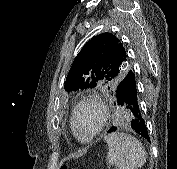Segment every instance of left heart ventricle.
<instances>
[{
  "label": "left heart ventricle",
  "instance_id": "left-heart-ventricle-1",
  "mask_svg": "<svg viewBox=\"0 0 177 169\" xmlns=\"http://www.w3.org/2000/svg\"><path fill=\"white\" fill-rule=\"evenodd\" d=\"M100 116L96 108L91 105L83 106L77 113L76 125L79 132L84 135H90L99 125Z\"/></svg>",
  "mask_w": 177,
  "mask_h": 169
}]
</instances>
